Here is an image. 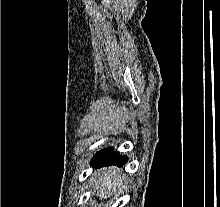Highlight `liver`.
<instances>
[{"label":"liver","instance_id":"1","mask_svg":"<svg viewBox=\"0 0 220 207\" xmlns=\"http://www.w3.org/2000/svg\"><path fill=\"white\" fill-rule=\"evenodd\" d=\"M123 181H125V178L118 168L108 167L103 168V172L97 171L94 178L96 195L102 199L116 194Z\"/></svg>","mask_w":220,"mask_h":207}]
</instances>
